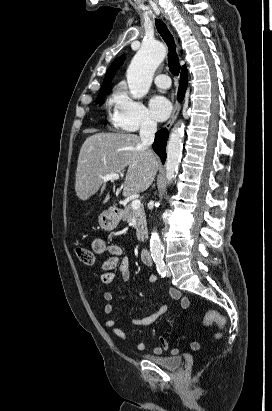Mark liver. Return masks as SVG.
<instances>
[{"label":"liver","mask_w":272,"mask_h":411,"mask_svg":"<svg viewBox=\"0 0 272 411\" xmlns=\"http://www.w3.org/2000/svg\"><path fill=\"white\" fill-rule=\"evenodd\" d=\"M128 168L123 196L144 192L154 181L158 161L145 149L139 136L130 133H97L83 143L77 163L75 191L81 200L94 195L106 174H122ZM110 199L109 193L103 203Z\"/></svg>","instance_id":"liver-1"}]
</instances>
